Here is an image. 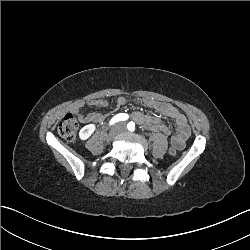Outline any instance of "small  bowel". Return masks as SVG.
<instances>
[{
  "mask_svg": "<svg viewBox=\"0 0 250 250\" xmlns=\"http://www.w3.org/2000/svg\"><path fill=\"white\" fill-rule=\"evenodd\" d=\"M99 100L100 99L92 100L89 104L97 108L107 107L108 102L106 100L103 102H99ZM126 103L127 101L124 96H120L117 100L118 107L124 106ZM144 103L149 108L155 110L158 115H148L135 112L132 115V119L149 130L161 132L167 136L171 135V128L161 120V117H166L172 120L176 125V133L171 137V144L176 145L178 149H182L191 133L186 117L178 108L169 103L161 102L151 97L144 98ZM75 113L83 122L103 123L105 121V117L98 113L81 114L77 110Z\"/></svg>",
  "mask_w": 250,
  "mask_h": 250,
  "instance_id": "obj_1",
  "label": "small bowel"
}]
</instances>
